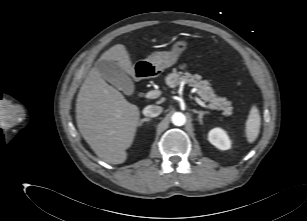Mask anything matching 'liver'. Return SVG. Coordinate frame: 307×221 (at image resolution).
Listing matches in <instances>:
<instances>
[{
	"label": "liver",
	"instance_id": "6515ba94",
	"mask_svg": "<svg viewBox=\"0 0 307 221\" xmlns=\"http://www.w3.org/2000/svg\"><path fill=\"white\" fill-rule=\"evenodd\" d=\"M101 60L118 61L133 76L130 56L123 44H116ZM139 108L129 103L117 89L105 82L93 67L83 82L76 101L78 129L95 154L109 164H122L139 125Z\"/></svg>",
	"mask_w": 307,
	"mask_h": 221
}]
</instances>
